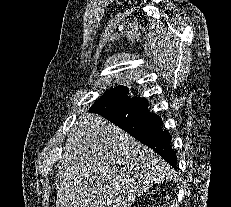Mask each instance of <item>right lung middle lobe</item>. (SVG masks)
Here are the masks:
<instances>
[{"instance_id":"obj_1","label":"right lung middle lobe","mask_w":231,"mask_h":207,"mask_svg":"<svg viewBox=\"0 0 231 207\" xmlns=\"http://www.w3.org/2000/svg\"><path fill=\"white\" fill-rule=\"evenodd\" d=\"M126 95L125 88L123 86H118L114 89H110L103 96L101 100H106L107 102H115L123 99Z\"/></svg>"}]
</instances>
